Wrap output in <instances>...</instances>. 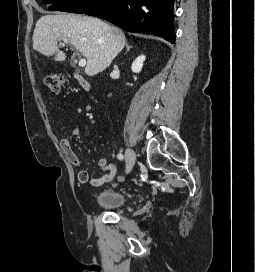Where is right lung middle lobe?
<instances>
[{
  "label": "right lung middle lobe",
  "instance_id": "1",
  "mask_svg": "<svg viewBox=\"0 0 255 272\" xmlns=\"http://www.w3.org/2000/svg\"><path fill=\"white\" fill-rule=\"evenodd\" d=\"M51 4L50 10L73 12L83 14L87 12L98 0H43Z\"/></svg>",
  "mask_w": 255,
  "mask_h": 272
}]
</instances>
